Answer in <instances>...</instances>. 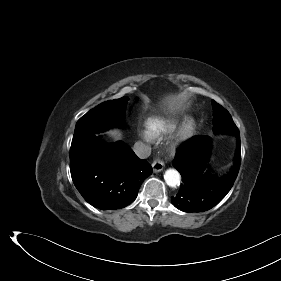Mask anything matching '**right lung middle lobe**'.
<instances>
[{"label": "right lung middle lobe", "mask_w": 281, "mask_h": 281, "mask_svg": "<svg viewBox=\"0 0 281 281\" xmlns=\"http://www.w3.org/2000/svg\"><path fill=\"white\" fill-rule=\"evenodd\" d=\"M128 99V97H122L110 100L87 112L77 121L73 138L85 133L103 132L114 126H123L125 105Z\"/></svg>", "instance_id": "dd1d6c3e"}]
</instances>
